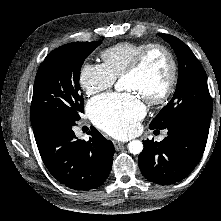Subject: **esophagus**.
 I'll use <instances>...</instances> for the list:
<instances>
[{
  "label": "esophagus",
  "mask_w": 221,
  "mask_h": 221,
  "mask_svg": "<svg viewBox=\"0 0 221 221\" xmlns=\"http://www.w3.org/2000/svg\"><path fill=\"white\" fill-rule=\"evenodd\" d=\"M114 147L118 150L121 146L124 145L123 142H119V141H113Z\"/></svg>",
  "instance_id": "obj_1"
}]
</instances>
